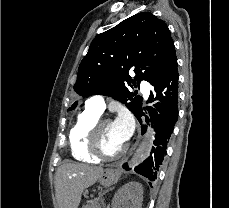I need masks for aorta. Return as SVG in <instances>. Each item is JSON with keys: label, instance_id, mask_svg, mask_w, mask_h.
Instances as JSON below:
<instances>
[{"label": "aorta", "instance_id": "aorta-1", "mask_svg": "<svg viewBox=\"0 0 229 208\" xmlns=\"http://www.w3.org/2000/svg\"><path fill=\"white\" fill-rule=\"evenodd\" d=\"M151 133V131H150ZM148 146V142H143L140 147L137 149V151L135 152L134 156L132 157V159L129 162V166L133 167L135 166L139 160H141L145 154V150Z\"/></svg>", "mask_w": 229, "mask_h": 208}]
</instances>
